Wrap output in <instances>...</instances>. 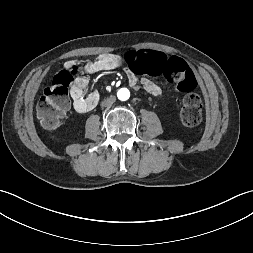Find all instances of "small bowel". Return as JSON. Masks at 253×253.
<instances>
[{
    "label": "small bowel",
    "mask_w": 253,
    "mask_h": 253,
    "mask_svg": "<svg viewBox=\"0 0 253 253\" xmlns=\"http://www.w3.org/2000/svg\"><path fill=\"white\" fill-rule=\"evenodd\" d=\"M138 51H154L156 53H163L157 50H138ZM135 51H130L125 54L124 58L127 61L129 55ZM123 63V57L114 53H103L99 55L94 61L87 62L81 66L87 74H93L100 71H112L119 68ZM75 61H68L65 64L66 70H70L75 66ZM127 78L130 86L139 89L142 88L149 94L157 96L161 93V88L154 81L135 73L130 68L127 70ZM88 86V80L84 76L75 78L71 87V97L74 108L79 113H86L91 111L99 101V92L92 89L87 95L85 90Z\"/></svg>",
    "instance_id": "c3829d8e"
}]
</instances>
